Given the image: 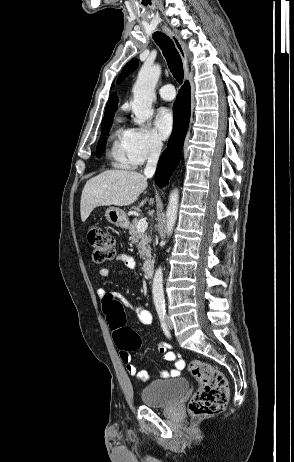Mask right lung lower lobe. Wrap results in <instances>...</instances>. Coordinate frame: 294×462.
Instances as JSON below:
<instances>
[{"label": "right lung lower lobe", "instance_id": "98d812e1", "mask_svg": "<svg viewBox=\"0 0 294 462\" xmlns=\"http://www.w3.org/2000/svg\"><path fill=\"white\" fill-rule=\"evenodd\" d=\"M190 118V85L185 82L174 103V126L167 149L158 162L155 180L159 186L166 185L178 164Z\"/></svg>", "mask_w": 294, "mask_h": 462}]
</instances>
